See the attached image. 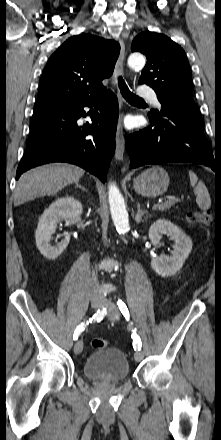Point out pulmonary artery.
Masks as SVG:
<instances>
[{"label":"pulmonary artery","instance_id":"e3ab8cb5","mask_svg":"<svg viewBox=\"0 0 221 440\" xmlns=\"http://www.w3.org/2000/svg\"><path fill=\"white\" fill-rule=\"evenodd\" d=\"M138 95L140 98L151 100L155 105L160 106L156 93L153 89L140 87Z\"/></svg>","mask_w":221,"mask_h":440}]
</instances>
